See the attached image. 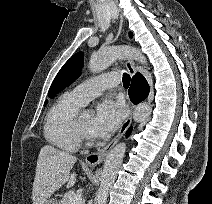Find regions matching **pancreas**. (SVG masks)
Returning a JSON list of instances; mask_svg holds the SVG:
<instances>
[{
    "mask_svg": "<svg viewBox=\"0 0 212 204\" xmlns=\"http://www.w3.org/2000/svg\"><path fill=\"white\" fill-rule=\"evenodd\" d=\"M75 195H78L75 191H68L60 200V204H69L70 199Z\"/></svg>",
    "mask_w": 212,
    "mask_h": 204,
    "instance_id": "1",
    "label": "pancreas"
}]
</instances>
